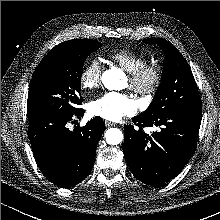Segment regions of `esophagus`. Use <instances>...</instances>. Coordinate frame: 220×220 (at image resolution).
<instances>
[{
    "instance_id": "esophagus-1",
    "label": "esophagus",
    "mask_w": 220,
    "mask_h": 220,
    "mask_svg": "<svg viewBox=\"0 0 220 220\" xmlns=\"http://www.w3.org/2000/svg\"><path fill=\"white\" fill-rule=\"evenodd\" d=\"M105 125H106V127L115 126L114 123H112V122H110V121H107V120H105Z\"/></svg>"
}]
</instances>
